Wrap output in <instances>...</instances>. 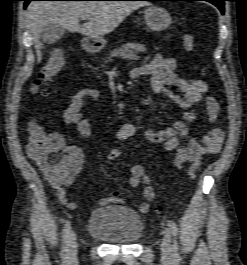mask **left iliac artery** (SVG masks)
<instances>
[{
	"label": "left iliac artery",
	"mask_w": 247,
	"mask_h": 265,
	"mask_svg": "<svg viewBox=\"0 0 247 265\" xmlns=\"http://www.w3.org/2000/svg\"><path fill=\"white\" fill-rule=\"evenodd\" d=\"M168 226L170 228V230L172 231L173 236L175 237L173 245H172V253L173 256L177 257L178 255V245H177V241H176V236L178 234V228L175 222L173 221H168Z\"/></svg>",
	"instance_id": "obj_1"
}]
</instances>
